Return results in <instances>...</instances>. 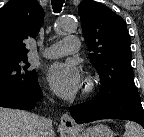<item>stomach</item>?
I'll return each mask as SVG.
<instances>
[{"label": "stomach", "mask_w": 144, "mask_h": 137, "mask_svg": "<svg viewBox=\"0 0 144 137\" xmlns=\"http://www.w3.org/2000/svg\"><path fill=\"white\" fill-rule=\"evenodd\" d=\"M71 135H78L77 137H114L112 130L103 124H97L89 127L80 134L70 133Z\"/></svg>", "instance_id": "obj_1"}]
</instances>
